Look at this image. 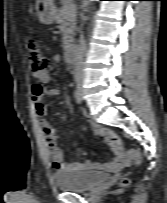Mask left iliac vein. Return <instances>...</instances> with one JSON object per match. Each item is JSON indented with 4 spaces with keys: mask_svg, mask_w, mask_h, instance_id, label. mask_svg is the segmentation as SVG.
<instances>
[{
    "mask_svg": "<svg viewBox=\"0 0 167 203\" xmlns=\"http://www.w3.org/2000/svg\"><path fill=\"white\" fill-rule=\"evenodd\" d=\"M80 94H81V96L83 95V94H82V91L80 92Z\"/></svg>",
    "mask_w": 167,
    "mask_h": 203,
    "instance_id": "obj_1",
    "label": "left iliac vein"
}]
</instances>
